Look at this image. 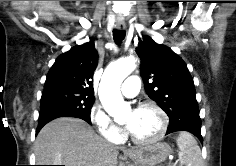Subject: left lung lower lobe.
<instances>
[{
    "instance_id": "left-lung-lower-lobe-1",
    "label": "left lung lower lobe",
    "mask_w": 236,
    "mask_h": 166,
    "mask_svg": "<svg viewBox=\"0 0 236 166\" xmlns=\"http://www.w3.org/2000/svg\"><path fill=\"white\" fill-rule=\"evenodd\" d=\"M177 131H187L194 134L198 139L203 142L201 136V119L199 117L198 107L194 108L190 113L182 116L174 121H171L167 133H173Z\"/></svg>"
}]
</instances>
